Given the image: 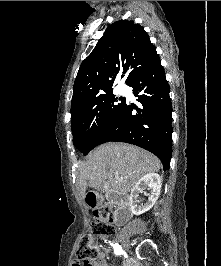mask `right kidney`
I'll return each mask as SVG.
<instances>
[{
	"label": "right kidney",
	"mask_w": 221,
	"mask_h": 266,
	"mask_svg": "<svg viewBox=\"0 0 221 266\" xmlns=\"http://www.w3.org/2000/svg\"><path fill=\"white\" fill-rule=\"evenodd\" d=\"M161 185L162 179L157 173H148L138 180L130 194L131 211L134 215H141L153 207L160 195ZM146 188L151 192L148 194L147 202L140 204L139 194Z\"/></svg>",
	"instance_id": "ca27d5eb"
}]
</instances>
